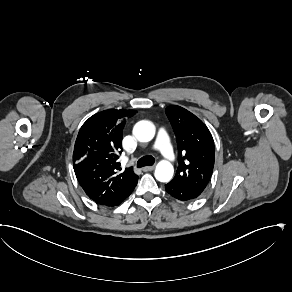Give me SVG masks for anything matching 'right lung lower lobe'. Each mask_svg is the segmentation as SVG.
Returning <instances> with one entry per match:
<instances>
[{"label":"right lung lower lobe","mask_w":292,"mask_h":292,"mask_svg":"<svg viewBox=\"0 0 292 292\" xmlns=\"http://www.w3.org/2000/svg\"><path fill=\"white\" fill-rule=\"evenodd\" d=\"M137 184V183H136ZM136 184L132 187V189H130L128 191V193L125 195V197H123L121 200H119L117 203L113 204V205H110V206H116V205H119L121 202H123L125 200V198H127L134 190Z\"/></svg>","instance_id":"obj_1"}]
</instances>
